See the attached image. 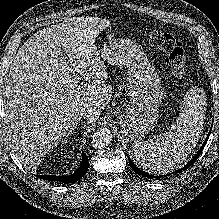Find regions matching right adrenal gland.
I'll list each match as a JSON object with an SVG mask.
<instances>
[{"mask_svg": "<svg viewBox=\"0 0 219 219\" xmlns=\"http://www.w3.org/2000/svg\"><path fill=\"white\" fill-rule=\"evenodd\" d=\"M76 127H77V126L73 127V128L70 130V132L67 134L66 138H68L69 136H71V135L74 133Z\"/></svg>", "mask_w": 219, "mask_h": 219, "instance_id": "1", "label": "right adrenal gland"}]
</instances>
